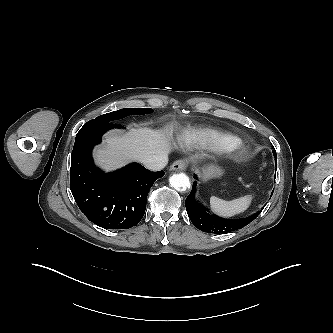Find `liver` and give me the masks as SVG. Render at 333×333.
Returning a JSON list of instances; mask_svg holds the SVG:
<instances>
[{
  "label": "liver",
  "instance_id": "liver-1",
  "mask_svg": "<svg viewBox=\"0 0 333 333\" xmlns=\"http://www.w3.org/2000/svg\"><path fill=\"white\" fill-rule=\"evenodd\" d=\"M173 124L163 130L132 129L124 135L110 132L105 136V146L94 152L96 162L107 171L122 167L130 160L166 156L171 151Z\"/></svg>",
  "mask_w": 333,
  "mask_h": 333
}]
</instances>
